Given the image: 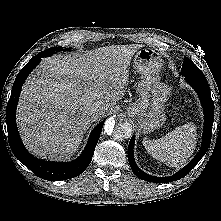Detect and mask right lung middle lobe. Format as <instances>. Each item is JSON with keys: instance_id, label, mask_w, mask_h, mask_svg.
Returning <instances> with one entry per match:
<instances>
[{"instance_id": "dd1d6c3e", "label": "right lung middle lobe", "mask_w": 221, "mask_h": 221, "mask_svg": "<svg viewBox=\"0 0 221 221\" xmlns=\"http://www.w3.org/2000/svg\"><path fill=\"white\" fill-rule=\"evenodd\" d=\"M61 49H62V47H52V48H49L47 50L40 52L39 54L46 57V56H50V55L54 54L57 51H61ZM65 50H67V49H65Z\"/></svg>"}]
</instances>
